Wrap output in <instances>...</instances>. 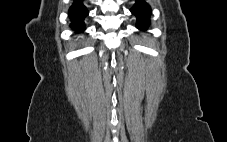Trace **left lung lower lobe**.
I'll list each match as a JSON object with an SVG mask.
<instances>
[{
  "mask_svg": "<svg viewBox=\"0 0 227 142\" xmlns=\"http://www.w3.org/2000/svg\"><path fill=\"white\" fill-rule=\"evenodd\" d=\"M131 13L137 18V28L146 30L150 24L149 17L151 14L150 6L144 0H136V3L131 8Z\"/></svg>",
  "mask_w": 227,
  "mask_h": 142,
  "instance_id": "0a47b994",
  "label": "left lung lower lobe"
}]
</instances>
